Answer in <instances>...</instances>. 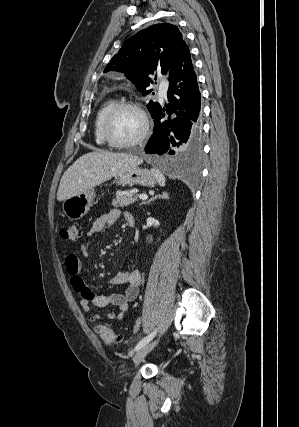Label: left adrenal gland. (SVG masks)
I'll list each match as a JSON object with an SVG mask.
<instances>
[{"instance_id":"obj_1","label":"left adrenal gland","mask_w":299,"mask_h":427,"mask_svg":"<svg viewBox=\"0 0 299 427\" xmlns=\"http://www.w3.org/2000/svg\"><path fill=\"white\" fill-rule=\"evenodd\" d=\"M157 198L169 199V194L167 192H163L161 195L160 194L159 195H155L152 198H150L148 201L142 202L140 205L149 204L150 202L156 200Z\"/></svg>"}]
</instances>
